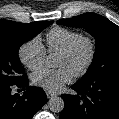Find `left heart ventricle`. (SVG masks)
Wrapping results in <instances>:
<instances>
[{
  "mask_svg": "<svg viewBox=\"0 0 119 119\" xmlns=\"http://www.w3.org/2000/svg\"><path fill=\"white\" fill-rule=\"evenodd\" d=\"M87 56H88L87 47L85 45H81L77 50V52L71 57L59 55L57 66L66 67L70 69L74 74L84 65Z\"/></svg>",
  "mask_w": 119,
  "mask_h": 119,
  "instance_id": "b2bd125f",
  "label": "left heart ventricle"
}]
</instances>
